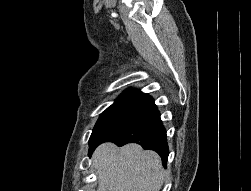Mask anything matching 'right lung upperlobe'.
Returning a JSON list of instances; mask_svg holds the SVG:
<instances>
[{
  "instance_id": "1",
  "label": "right lung upper lobe",
  "mask_w": 251,
  "mask_h": 191,
  "mask_svg": "<svg viewBox=\"0 0 251 191\" xmlns=\"http://www.w3.org/2000/svg\"><path fill=\"white\" fill-rule=\"evenodd\" d=\"M154 104V100L148 94L133 88L124 91L111 106L127 107L132 109L146 110Z\"/></svg>"
}]
</instances>
